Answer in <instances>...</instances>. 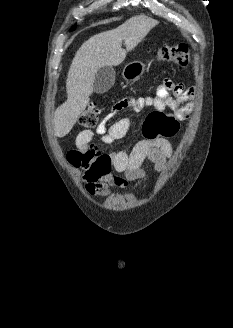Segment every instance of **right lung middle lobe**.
I'll use <instances>...</instances> for the list:
<instances>
[{"label":"right lung middle lobe","mask_w":233,"mask_h":328,"mask_svg":"<svg viewBox=\"0 0 233 328\" xmlns=\"http://www.w3.org/2000/svg\"><path fill=\"white\" fill-rule=\"evenodd\" d=\"M76 28V26H74L73 28H72V30H74Z\"/></svg>","instance_id":"obj_1"}]
</instances>
